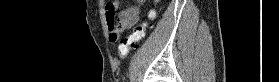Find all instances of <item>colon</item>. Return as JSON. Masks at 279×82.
<instances>
[{
  "label": "colon",
  "instance_id": "1",
  "mask_svg": "<svg viewBox=\"0 0 279 82\" xmlns=\"http://www.w3.org/2000/svg\"><path fill=\"white\" fill-rule=\"evenodd\" d=\"M155 16L156 11L151 9L147 14V20H152L155 18ZM147 20L136 25L133 29V32L129 36L120 39L118 46V53L120 57L127 56L132 49L137 47L138 42L144 38L148 24Z\"/></svg>",
  "mask_w": 279,
  "mask_h": 82
}]
</instances>
